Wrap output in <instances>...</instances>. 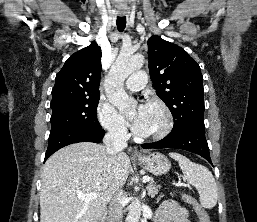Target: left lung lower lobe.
Listing matches in <instances>:
<instances>
[{"instance_id": "obj_1", "label": "left lung lower lobe", "mask_w": 257, "mask_h": 222, "mask_svg": "<svg viewBox=\"0 0 257 222\" xmlns=\"http://www.w3.org/2000/svg\"><path fill=\"white\" fill-rule=\"evenodd\" d=\"M141 146L144 149L175 148L187 150L202 156L213 165L203 126H188L179 130H172L164 139L154 143H145Z\"/></svg>"}]
</instances>
